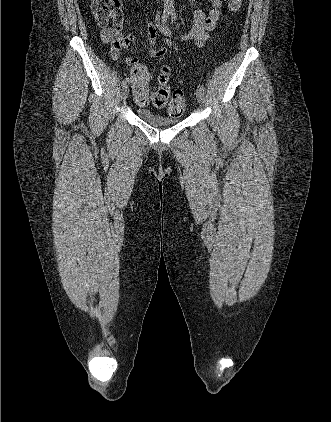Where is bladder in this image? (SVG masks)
<instances>
[{
	"label": "bladder",
	"instance_id": "1",
	"mask_svg": "<svg viewBox=\"0 0 331 422\" xmlns=\"http://www.w3.org/2000/svg\"><path fill=\"white\" fill-rule=\"evenodd\" d=\"M136 114L144 122L155 127L176 125L182 120L181 116H167L145 108H138Z\"/></svg>",
	"mask_w": 331,
	"mask_h": 422
}]
</instances>
